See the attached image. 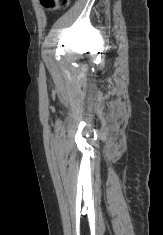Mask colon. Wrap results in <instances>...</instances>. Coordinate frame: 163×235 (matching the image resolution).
I'll list each match as a JSON object with an SVG mask.
<instances>
[{"instance_id":"5ec220e1","label":"colon","mask_w":163,"mask_h":235,"mask_svg":"<svg viewBox=\"0 0 163 235\" xmlns=\"http://www.w3.org/2000/svg\"><path fill=\"white\" fill-rule=\"evenodd\" d=\"M40 3L48 10H60L66 8L70 0H40Z\"/></svg>"}]
</instances>
